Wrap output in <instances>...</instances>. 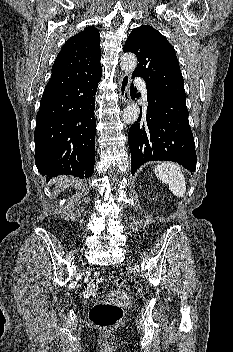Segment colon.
Instances as JSON below:
<instances>
[{"instance_id":"1","label":"colon","mask_w":233,"mask_h":352,"mask_svg":"<svg viewBox=\"0 0 233 352\" xmlns=\"http://www.w3.org/2000/svg\"><path fill=\"white\" fill-rule=\"evenodd\" d=\"M101 278L98 275L89 277L84 284L85 295L94 299L90 310L89 319L97 327L109 329L114 327L123 317V309L117 305L98 298L102 289L99 286ZM117 287H125L126 281L118 278L115 281Z\"/></svg>"}]
</instances>
